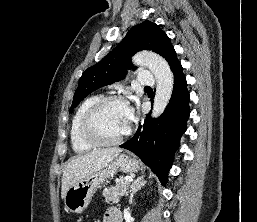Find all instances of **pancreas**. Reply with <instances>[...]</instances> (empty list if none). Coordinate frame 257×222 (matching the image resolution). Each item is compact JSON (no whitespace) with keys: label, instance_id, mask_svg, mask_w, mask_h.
Listing matches in <instances>:
<instances>
[{"label":"pancreas","instance_id":"pancreas-1","mask_svg":"<svg viewBox=\"0 0 257 222\" xmlns=\"http://www.w3.org/2000/svg\"><path fill=\"white\" fill-rule=\"evenodd\" d=\"M129 183L122 177L119 179L115 187L105 188L103 197L107 203H118L121 196H126L128 193Z\"/></svg>","mask_w":257,"mask_h":222}]
</instances>
